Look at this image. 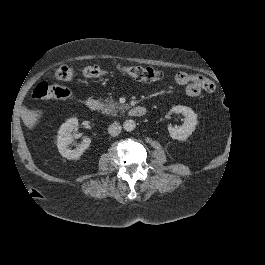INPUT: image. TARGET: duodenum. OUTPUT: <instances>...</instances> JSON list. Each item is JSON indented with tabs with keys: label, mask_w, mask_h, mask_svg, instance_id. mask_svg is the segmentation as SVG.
I'll return each mask as SVG.
<instances>
[{
	"label": "duodenum",
	"mask_w": 265,
	"mask_h": 265,
	"mask_svg": "<svg viewBox=\"0 0 265 265\" xmlns=\"http://www.w3.org/2000/svg\"><path fill=\"white\" fill-rule=\"evenodd\" d=\"M87 108L91 111H98L101 108L100 102L95 98H88L85 102ZM146 108L144 106L138 105L134 106L130 111L129 115L133 117H140L146 114Z\"/></svg>",
	"instance_id": "410a0bca"
}]
</instances>
